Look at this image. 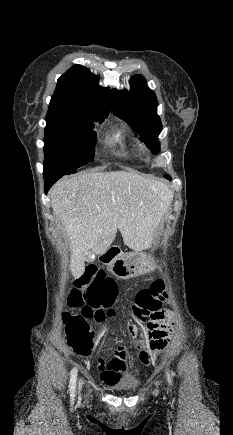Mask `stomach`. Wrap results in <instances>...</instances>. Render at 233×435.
Returning <instances> with one entry per match:
<instances>
[{
	"mask_svg": "<svg viewBox=\"0 0 233 435\" xmlns=\"http://www.w3.org/2000/svg\"><path fill=\"white\" fill-rule=\"evenodd\" d=\"M154 267V258L142 250L122 254L111 264L112 273L120 279H129L150 272Z\"/></svg>",
	"mask_w": 233,
	"mask_h": 435,
	"instance_id": "stomach-1",
	"label": "stomach"
}]
</instances>
